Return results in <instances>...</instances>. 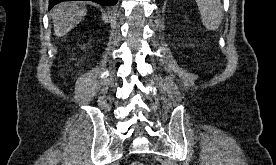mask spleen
I'll list each match as a JSON object with an SVG mask.
<instances>
[{
	"mask_svg": "<svg viewBox=\"0 0 276 165\" xmlns=\"http://www.w3.org/2000/svg\"><path fill=\"white\" fill-rule=\"evenodd\" d=\"M203 25L211 31H216L223 18L220 0H196Z\"/></svg>",
	"mask_w": 276,
	"mask_h": 165,
	"instance_id": "1",
	"label": "spleen"
}]
</instances>
